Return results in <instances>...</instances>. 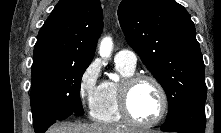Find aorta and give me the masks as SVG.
<instances>
[{"label":"aorta","instance_id":"762f6f07","mask_svg":"<svg viewBox=\"0 0 221 133\" xmlns=\"http://www.w3.org/2000/svg\"><path fill=\"white\" fill-rule=\"evenodd\" d=\"M112 39L110 37H105L100 44L99 53L101 57H109L112 51ZM110 79L117 81L118 76L116 74H111Z\"/></svg>","mask_w":221,"mask_h":133}]
</instances>
